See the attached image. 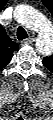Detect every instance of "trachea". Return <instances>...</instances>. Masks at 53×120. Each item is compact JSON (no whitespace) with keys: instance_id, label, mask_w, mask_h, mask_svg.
<instances>
[{"instance_id":"1","label":"trachea","mask_w":53,"mask_h":120,"mask_svg":"<svg viewBox=\"0 0 53 120\" xmlns=\"http://www.w3.org/2000/svg\"><path fill=\"white\" fill-rule=\"evenodd\" d=\"M17 38L18 40H23V39H26L28 38V34L26 32V30L22 27H18L17 29Z\"/></svg>"}]
</instances>
